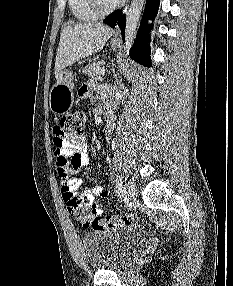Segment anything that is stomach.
I'll use <instances>...</instances> for the list:
<instances>
[{"instance_id":"obj_1","label":"stomach","mask_w":233,"mask_h":286,"mask_svg":"<svg viewBox=\"0 0 233 286\" xmlns=\"http://www.w3.org/2000/svg\"><path fill=\"white\" fill-rule=\"evenodd\" d=\"M117 44V41H112L113 48H116ZM73 91L74 76L70 70L63 69L50 91V110L56 115L65 114L72 106Z\"/></svg>"}]
</instances>
